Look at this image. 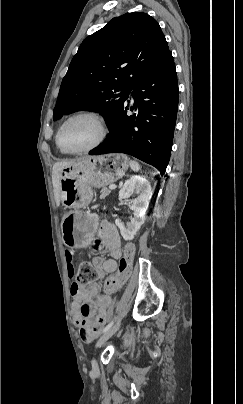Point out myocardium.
Here are the masks:
<instances>
[{
	"mask_svg": "<svg viewBox=\"0 0 243 404\" xmlns=\"http://www.w3.org/2000/svg\"><path fill=\"white\" fill-rule=\"evenodd\" d=\"M78 116H90V117H93L94 119H96L98 121L99 125H100V136H99L98 140L94 144H92L91 146L86 147L84 149H68V148H64L62 146V144H61V141H60V136H61L62 129L66 125V123L68 121H70L71 119H73L75 117H78ZM107 133H108V130H107L106 122H105L104 118L99 113H97L96 111H93V110H80V111H77V112H74V113L70 114L69 116H67L62 121V123L59 125V127L57 129L56 139L58 141L59 146L63 147L69 153H74V154L88 153V152H91V151L99 148L104 143V141H105V139L107 137Z\"/></svg>",
	"mask_w": 243,
	"mask_h": 404,
	"instance_id": "obj_1",
	"label": "myocardium"
}]
</instances>
